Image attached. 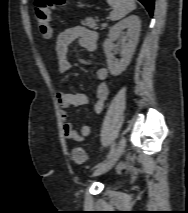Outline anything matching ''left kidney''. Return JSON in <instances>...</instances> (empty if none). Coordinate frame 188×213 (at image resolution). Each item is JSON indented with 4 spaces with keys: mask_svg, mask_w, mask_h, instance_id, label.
<instances>
[{
    "mask_svg": "<svg viewBox=\"0 0 188 213\" xmlns=\"http://www.w3.org/2000/svg\"><path fill=\"white\" fill-rule=\"evenodd\" d=\"M127 27L129 28V35L124 37L127 42L122 44L121 59L118 60L112 53L113 42L123 37L122 30ZM140 29L141 22L136 15H131L110 28L108 38L105 40L103 48L107 58L108 69L113 76L120 75L130 64L139 40Z\"/></svg>",
    "mask_w": 188,
    "mask_h": 213,
    "instance_id": "left-kidney-1",
    "label": "left kidney"
}]
</instances>
